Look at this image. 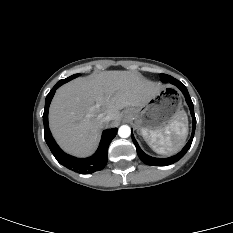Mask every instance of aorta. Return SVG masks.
Masks as SVG:
<instances>
[{"label":"aorta","mask_w":233,"mask_h":233,"mask_svg":"<svg viewBox=\"0 0 233 233\" xmlns=\"http://www.w3.org/2000/svg\"><path fill=\"white\" fill-rule=\"evenodd\" d=\"M130 134H131V129L127 125H122L118 130V135L121 138H127L130 136Z\"/></svg>","instance_id":"obj_1"}]
</instances>
